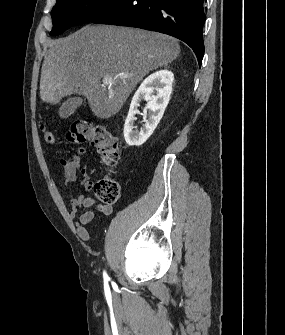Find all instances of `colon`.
Returning <instances> with one entry per match:
<instances>
[{"label":"colon","instance_id":"5ec220e1","mask_svg":"<svg viewBox=\"0 0 285 335\" xmlns=\"http://www.w3.org/2000/svg\"><path fill=\"white\" fill-rule=\"evenodd\" d=\"M41 134L48 144H54L55 138L46 126L40 127ZM67 140L75 145L89 142L98 151L102 163L107 167H113L119 160V141L102 124L86 120L75 121L66 134ZM82 150L79 149L78 153ZM78 156L72 162H77ZM94 193L99 201L105 205L115 204L120 196V185L112 176H105L96 180L93 185Z\"/></svg>","mask_w":285,"mask_h":335}]
</instances>
